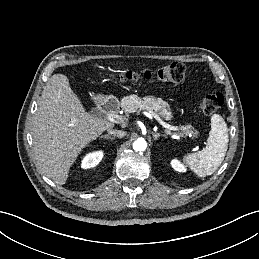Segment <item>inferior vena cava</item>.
Masks as SVG:
<instances>
[{
	"mask_svg": "<svg viewBox=\"0 0 259 259\" xmlns=\"http://www.w3.org/2000/svg\"><path fill=\"white\" fill-rule=\"evenodd\" d=\"M108 134L119 137V138H123L126 135L124 131L116 130V129H113V130L109 129Z\"/></svg>",
	"mask_w": 259,
	"mask_h": 259,
	"instance_id": "602c4592",
	"label": "inferior vena cava"
}]
</instances>
